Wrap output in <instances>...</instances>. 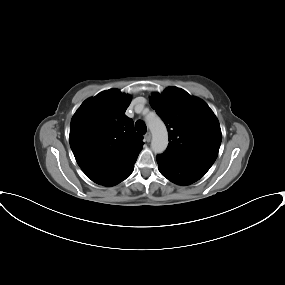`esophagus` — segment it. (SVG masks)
<instances>
[{
    "instance_id": "1",
    "label": "esophagus",
    "mask_w": 285,
    "mask_h": 285,
    "mask_svg": "<svg viewBox=\"0 0 285 285\" xmlns=\"http://www.w3.org/2000/svg\"><path fill=\"white\" fill-rule=\"evenodd\" d=\"M144 137H145L146 142L151 141V133L150 132H147Z\"/></svg>"
}]
</instances>
